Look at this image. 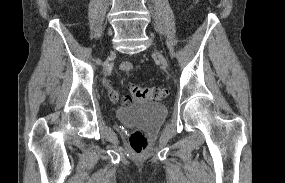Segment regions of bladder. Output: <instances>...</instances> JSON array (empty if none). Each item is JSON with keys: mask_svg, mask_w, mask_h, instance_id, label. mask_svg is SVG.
Wrapping results in <instances>:
<instances>
[{"mask_svg": "<svg viewBox=\"0 0 285 183\" xmlns=\"http://www.w3.org/2000/svg\"><path fill=\"white\" fill-rule=\"evenodd\" d=\"M167 116L164 105L155 102H139L117 109L116 117L122 122H134L145 130H155Z\"/></svg>", "mask_w": 285, "mask_h": 183, "instance_id": "31cf9c89", "label": "bladder"}]
</instances>
